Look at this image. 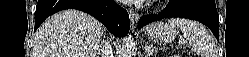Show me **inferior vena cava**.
I'll return each instance as SVG.
<instances>
[{
	"instance_id": "602c4592",
	"label": "inferior vena cava",
	"mask_w": 249,
	"mask_h": 57,
	"mask_svg": "<svg viewBox=\"0 0 249 57\" xmlns=\"http://www.w3.org/2000/svg\"><path fill=\"white\" fill-rule=\"evenodd\" d=\"M100 57H113V51L111 45L105 41L99 48V55Z\"/></svg>"
}]
</instances>
